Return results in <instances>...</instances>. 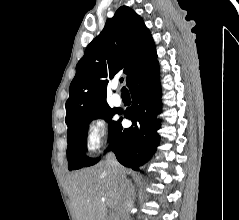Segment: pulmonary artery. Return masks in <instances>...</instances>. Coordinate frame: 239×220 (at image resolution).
<instances>
[{"label": "pulmonary artery", "mask_w": 239, "mask_h": 220, "mask_svg": "<svg viewBox=\"0 0 239 220\" xmlns=\"http://www.w3.org/2000/svg\"><path fill=\"white\" fill-rule=\"evenodd\" d=\"M111 101L114 105H117V106L122 103V99L119 94H113L111 97Z\"/></svg>", "instance_id": "1"}]
</instances>
